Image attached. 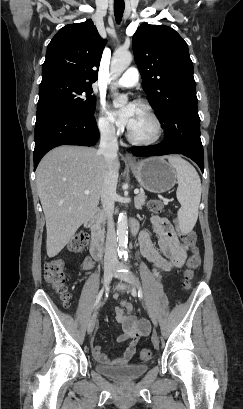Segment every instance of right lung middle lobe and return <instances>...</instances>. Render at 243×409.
Returning <instances> with one entry per match:
<instances>
[{"label":"right lung middle lobe","mask_w":243,"mask_h":409,"mask_svg":"<svg viewBox=\"0 0 243 409\" xmlns=\"http://www.w3.org/2000/svg\"><path fill=\"white\" fill-rule=\"evenodd\" d=\"M90 85L66 78L41 81L37 115L48 111H63L83 116L94 115L96 98Z\"/></svg>","instance_id":"1"}]
</instances>
